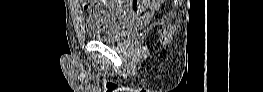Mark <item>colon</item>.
Here are the masks:
<instances>
[{"label": "colon", "mask_w": 263, "mask_h": 92, "mask_svg": "<svg viewBox=\"0 0 263 92\" xmlns=\"http://www.w3.org/2000/svg\"><path fill=\"white\" fill-rule=\"evenodd\" d=\"M146 2L147 1H132V5H133L132 7H133V9L138 10L140 8V6ZM93 8H95V7H93Z\"/></svg>", "instance_id": "5ec220e1"}]
</instances>
